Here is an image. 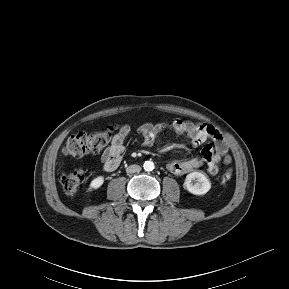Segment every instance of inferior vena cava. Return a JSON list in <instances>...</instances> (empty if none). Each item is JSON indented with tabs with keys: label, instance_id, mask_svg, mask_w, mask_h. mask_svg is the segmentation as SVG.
Wrapping results in <instances>:
<instances>
[{
	"label": "inferior vena cava",
	"instance_id": "inferior-vena-cava-1",
	"mask_svg": "<svg viewBox=\"0 0 289 289\" xmlns=\"http://www.w3.org/2000/svg\"><path fill=\"white\" fill-rule=\"evenodd\" d=\"M141 171V167L139 165H130L126 168L127 173H138Z\"/></svg>",
	"mask_w": 289,
	"mask_h": 289
}]
</instances>
